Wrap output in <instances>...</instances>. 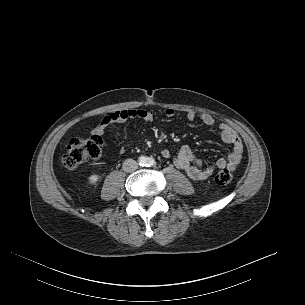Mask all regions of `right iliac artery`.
Wrapping results in <instances>:
<instances>
[{
  "instance_id": "82829eb1",
  "label": "right iliac artery",
  "mask_w": 305,
  "mask_h": 305,
  "mask_svg": "<svg viewBox=\"0 0 305 305\" xmlns=\"http://www.w3.org/2000/svg\"><path fill=\"white\" fill-rule=\"evenodd\" d=\"M141 161L144 163V161H145V160L142 158V160H141Z\"/></svg>"
}]
</instances>
